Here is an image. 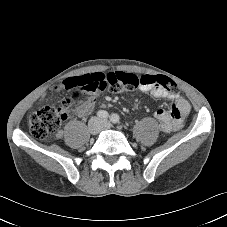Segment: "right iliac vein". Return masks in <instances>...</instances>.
I'll return each instance as SVG.
<instances>
[{"label":"right iliac vein","mask_w":227,"mask_h":227,"mask_svg":"<svg viewBox=\"0 0 227 227\" xmlns=\"http://www.w3.org/2000/svg\"><path fill=\"white\" fill-rule=\"evenodd\" d=\"M88 130L92 135H96L100 131V121L97 118L90 120L88 124Z\"/></svg>","instance_id":"1"}]
</instances>
